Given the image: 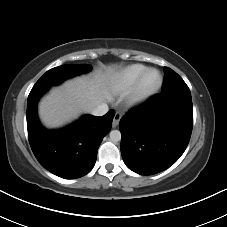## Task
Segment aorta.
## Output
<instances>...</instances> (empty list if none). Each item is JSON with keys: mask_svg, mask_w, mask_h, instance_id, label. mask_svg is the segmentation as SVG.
Wrapping results in <instances>:
<instances>
[{"mask_svg": "<svg viewBox=\"0 0 227 227\" xmlns=\"http://www.w3.org/2000/svg\"><path fill=\"white\" fill-rule=\"evenodd\" d=\"M109 136H110V140L112 142H118L121 140V133L120 131L118 130H112L110 133H109Z\"/></svg>", "mask_w": 227, "mask_h": 227, "instance_id": "762f6f07", "label": "aorta"}]
</instances>
